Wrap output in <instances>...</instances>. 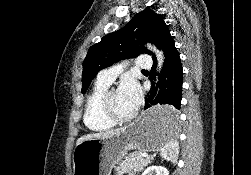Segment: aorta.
I'll return each mask as SVG.
<instances>
[{"mask_svg":"<svg viewBox=\"0 0 251 175\" xmlns=\"http://www.w3.org/2000/svg\"><path fill=\"white\" fill-rule=\"evenodd\" d=\"M149 50H152V52H154L156 58H157V70L158 72H160L162 66H163V62H164V56H163V52H161V50H157V48H155V46H148Z\"/></svg>","mask_w":251,"mask_h":175,"instance_id":"1","label":"aorta"}]
</instances>
